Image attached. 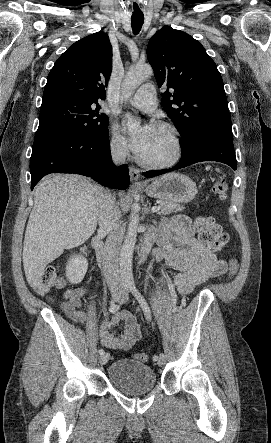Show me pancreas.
I'll return each mask as SVG.
<instances>
[{
	"mask_svg": "<svg viewBox=\"0 0 271 443\" xmlns=\"http://www.w3.org/2000/svg\"><path fill=\"white\" fill-rule=\"evenodd\" d=\"M161 208V216H167V214H171V212H183V206L180 204H176V202H166V200H161L159 204Z\"/></svg>",
	"mask_w": 271,
	"mask_h": 443,
	"instance_id": "pancreas-1",
	"label": "pancreas"
}]
</instances>
